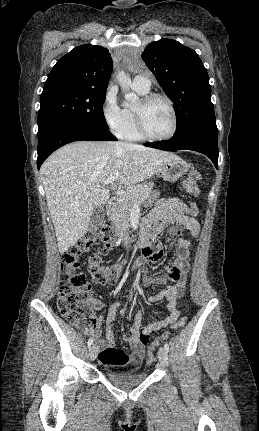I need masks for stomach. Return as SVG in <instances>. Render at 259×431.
I'll return each instance as SVG.
<instances>
[{"instance_id": "stomach-1", "label": "stomach", "mask_w": 259, "mask_h": 431, "mask_svg": "<svg viewBox=\"0 0 259 431\" xmlns=\"http://www.w3.org/2000/svg\"><path fill=\"white\" fill-rule=\"evenodd\" d=\"M190 168V165L183 161L181 158H176L168 161L162 166L159 173L161 177L169 182H176L181 176L186 174ZM159 197V193L156 191H151L145 204L148 205Z\"/></svg>"}]
</instances>
